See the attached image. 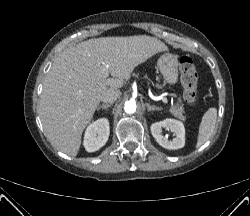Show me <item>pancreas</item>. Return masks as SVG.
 I'll use <instances>...</instances> for the list:
<instances>
[{"label":"pancreas","instance_id":"obj_1","mask_svg":"<svg viewBox=\"0 0 250 216\" xmlns=\"http://www.w3.org/2000/svg\"><path fill=\"white\" fill-rule=\"evenodd\" d=\"M170 113L180 119V120H185L186 118L183 116V114L185 113L184 112V109L182 107V105L180 104H176L175 106H172L170 109H169Z\"/></svg>","mask_w":250,"mask_h":216}]
</instances>
